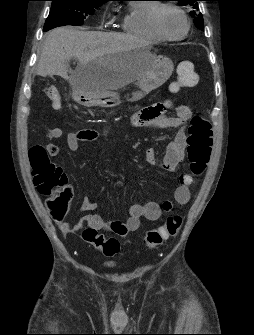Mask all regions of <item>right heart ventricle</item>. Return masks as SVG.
Returning a JSON list of instances; mask_svg holds the SVG:
<instances>
[{"label":"right heart ventricle","mask_w":254,"mask_h":335,"mask_svg":"<svg viewBox=\"0 0 254 335\" xmlns=\"http://www.w3.org/2000/svg\"><path fill=\"white\" fill-rule=\"evenodd\" d=\"M129 4L121 20V28L127 34L150 42H160L162 39L156 35L151 26V14L157 3Z\"/></svg>","instance_id":"obj_1"}]
</instances>
